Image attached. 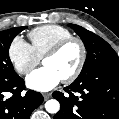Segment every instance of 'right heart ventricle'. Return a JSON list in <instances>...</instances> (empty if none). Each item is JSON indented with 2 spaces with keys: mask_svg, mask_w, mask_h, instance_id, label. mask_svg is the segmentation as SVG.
<instances>
[{
  "mask_svg": "<svg viewBox=\"0 0 119 119\" xmlns=\"http://www.w3.org/2000/svg\"><path fill=\"white\" fill-rule=\"evenodd\" d=\"M28 36L34 52L41 59L53 46L73 34L63 26L50 24L33 29Z\"/></svg>",
  "mask_w": 119,
  "mask_h": 119,
  "instance_id": "obj_1",
  "label": "right heart ventricle"
}]
</instances>
